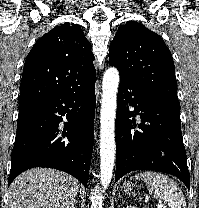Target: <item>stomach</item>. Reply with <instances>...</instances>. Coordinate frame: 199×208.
<instances>
[{
  "instance_id": "1",
  "label": "stomach",
  "mask_w": 199,
  "mask_h": 208,
  "mask_svg": "<svg viewBox=\"0 0 199 208\" xmlns=\"http://www.w3.org/2000/svg\"><path fill=\"white\" fill-rule=\"evenodd\" d=\"M133 187H134V184L130 183V182H127V183L123 184V189L127 193L131 192L133 190Z\"/></svg>"
}]
</instances>
